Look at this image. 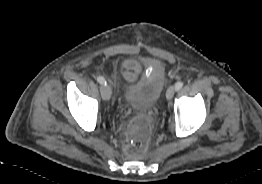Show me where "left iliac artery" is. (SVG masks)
<instances>
[{
    "label": "left iliac artery",
    "instance_id": "left-iliac-artery-1",
    "mask_svg": "<svg viewBox=\"0 0 262 184\" xmlns=\"http://www.w3.org/2000/svg\"><path fill=\"white\" fill-rule=\"evenodd\" d=\"M182 87H183V82L182 81H179V82H177L175 84V88H176L177 91L180 90Z\"/></svg>",
    "mask_w": 262,
    "mask_h": 184
}]
</instances>
